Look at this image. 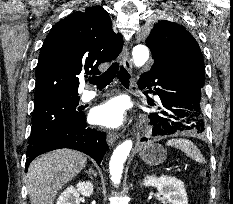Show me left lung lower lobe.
Here are the masks:
<instances>
[{"label": "left lung lower lobe", "instance_id": "0a47b994", "mask_svg": "<svg viewBox=\"0 0 233 204\" xmlns=\"http://www.w3.org/2000/svg\"><path fill=\"white\" fill-rule=\"evenodd\" d=\"M154 87L160 105L150 103L156 111L149 119L152 136H164L183 131L203 133L201 84L195 72L177 55L164 56L154 61L150 71L139 79L140 88ZM143 140V139H142Z\"/></svg>", "mask_w": 233, "mask_h": 204}]
</instances>
